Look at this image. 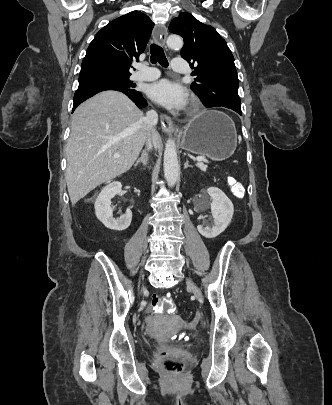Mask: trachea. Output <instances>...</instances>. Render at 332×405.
I'll return each instance as SVG.
<instances>
[{
  "instance_id": "obj_1",
  "label": "trachea",
  "mask_w": 332,
  "mask_h": 405,
  "mask_svg": "<svg viewBox=\"0 0 332 405\" xmlns=\"http://www.w3.org/2000/svg\"><path fill=\"white\" fill-rule=\"evenodd\" d=\"M150 54L151 63L155 64L158 62L162 67H168V61L165 57V53L159 45L151 44Z\"/></svg>"
}]
</instances>
